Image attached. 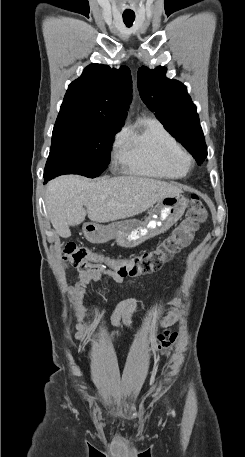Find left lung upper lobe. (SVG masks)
<instances>
[{"label":"left lung upper lobe","mask_w":245,"mask_h":457,"mask_svg":"<svg viewBox=\"0 0 245 457\" xmlns=\"http://www.w3.org/2000/svg\"><path fill=\"white\" fill-rule=\"evenodd\" d=\"M166 68L155 70L142 66L138 70L137 85L141 99L155 112L156 117L197 162L207 155V147L199 123L196 106L181 82L168 79Z\"/></svg>","instance_id":"obj_1"}]
</instances>
